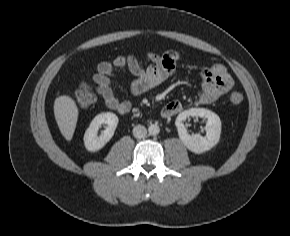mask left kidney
Returning a JSON list of instances; mask_svg holds the SVG:
<instances>
[{
  "mask_svg": "<svg viewBox=\"0 0 290 236\" xmlns=\"http://www.w3.org/2000/svg\"><path fill=\"white\" fill-rule=\"evenodd\" d=\"M189 117H201L207 119L205 126L206 135L188 134L184 121ZM178 135L182 143L192 152L200 154L214 147L220 138L221 120L214 112L204 108H191L181 112L175 121Z\"/></svg>",
  "mask_w": 290,
  "mask_h": 236,
  "instance_id": "obj_1",
  "label": "left kidney"
}]
</instances>
